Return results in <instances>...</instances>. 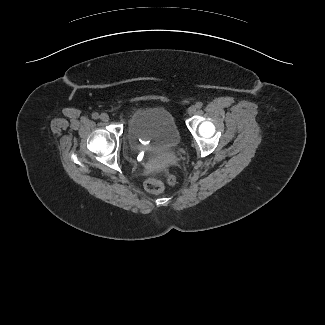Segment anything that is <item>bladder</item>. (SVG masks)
I'll use <instances>...</instances> for the list:
<instances>
[{"mask_svg": "<svg viewBox=\"0 0 325 325\" xmlns=\"http://www.w3.org/2000/svg\"><path fill=\"white\" fill-rule=\"evenodd\" d=\"M127 136L133 147L152 151L172 150L179 146L181 134L172 113L161 107L142 108L127 122Z\"/></svg>", "mask_w": 325, "mask_h": 325, "instance_id": "obj_1", "label": "bladder"}]
</instances>
